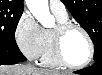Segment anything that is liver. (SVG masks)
<instances>
[{
  "instance_id": "1",
  "label": "liver",
  "mask_w": 102,
  "mask_h": 75,
  "mask_svg": "<svg viewBox=\"0 0 102 75\" xmlns=\"http://www.w3.org/2000/svg\"><path fill=\"white\" fill-rule=\"evenodd\" d=\"M0 75H62L60 72L36 68L34 66L16 64L0 67Z\"/></svg>"
}]
</instances>
